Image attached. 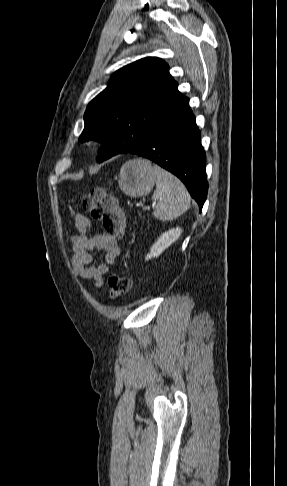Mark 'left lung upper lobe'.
Returning a JSON list of instances; mask_svg holds the SVG:
<instances>
[{"mask_svg":"<svg viewBox=\"0 0 287 486\" xmlns=\"http://www.w3.org/2000/svg\"><path fill=\"white\" fill-rule=\"evenodd\" d=\"M169 74V66L157 57L137 60L116 71L106 89L87 106L81 142L95 139L106 144L97 160L129 152L184 97Z\"/></svg>","mask_w":287,"mask_h":486,"instance_id":"5c2ea615","label":"left lung upper lobe"}]
</instances>
